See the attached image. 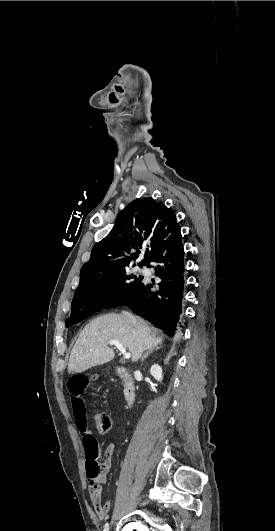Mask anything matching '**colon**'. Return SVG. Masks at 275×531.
Masks as SVG:
<instances>
[{"mask_svg": "<svg viewBox=\"0 0 275 531\" xmlns=\"http://www.w3.org/2000/svg\"><path fill=\"white\" fill-rule=\"evenodd\" d=\"M81 377L92 378V376L90 375H83ZM87 393H90V392H87ZM86 406L87 408H89V405H86ZM95 424H96V427L99 433L106 434L111 428V418L109 417L108 414L104 412H97L95 414Z\"/></svg>", "mask_w": 275, "mask_h": 531, "instance_id": "obj_1", "label": "colon"}]
</instances>
